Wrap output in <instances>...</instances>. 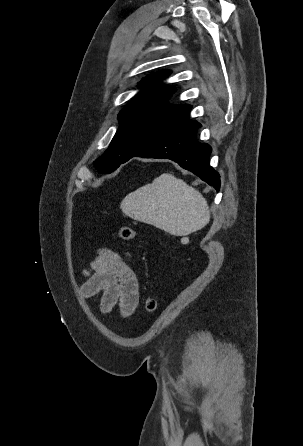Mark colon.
Returning a JSON list of instances; mask_svg holds the SVG:
<instances>
[{
  "instance_id": "1",
  "label": "colon",
  "mask_w": 303,
  "mask_h": 446,
  "mask_svg": "<svg viewBox=\"0 0 303 446\" xmlns=\"http://www.w3.org/2000/svg\"><path fill=\"white\" fill-rule=\"evenodd\" d=\"M118 236L122 241L130 242L135 238L136 233L135 230L129 226H121L118 230ZM156 308H157L156 298L153 296L147 297L144 302L145 311L148 313H152L156 310Z\"/></svg>"
}]
</instances>
